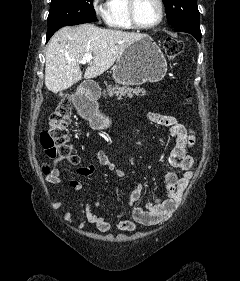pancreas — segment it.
Masks as SVG:
<instances>
[{"label": "pancreas", "instance_id": "obj_1", "mask_svg": "<svg viewBox=\"0 0 240 281\" xmlns=\"http://www.w3.org/2000/svg\"><path fill=\"white\" fill-rule=\"evenodd\" d=\"M105 96L113 97L114 95L118 96L119 99L121 97H133L134 95H140L144 96L146 94V91L143 88L137 87L135 89L133 88H126V87H111L109 86L106 91L103 93Z\"/></svg>", "mask_w": 240, "mask_h": 281}]
</instances>
